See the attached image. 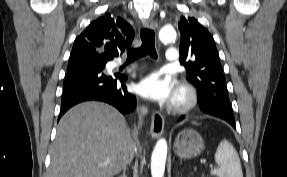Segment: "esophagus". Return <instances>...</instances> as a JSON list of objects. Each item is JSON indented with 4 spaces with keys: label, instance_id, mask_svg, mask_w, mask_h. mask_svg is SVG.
I'll list each match as a JSON object with an SVG mask.
<instances>
[{
    "label": "esophagus",
    "instance_id": "obj_1",
    "mask_svg": "<svg viewBox=\"0 0 287 177\" xmlns=\"http://www.w3.org/2000/svg\"><path fill=\"white\" fill-rule=\"evenodd\" d=\"M144 26L148 29L155 30L158 24L152 18H148L144 21ZM164 122H165L164 117L162 116L161 113L157 111L152 113V120L150 127V133L152 138L157 139L162 135L164 129Z\"/></svg>",
    "mask_w": 287,
    "mask_h": 177
}]
</instances>
